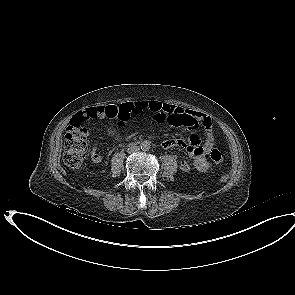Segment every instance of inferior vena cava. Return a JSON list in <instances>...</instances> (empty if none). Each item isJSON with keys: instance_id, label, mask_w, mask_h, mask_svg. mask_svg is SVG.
Instances as JSON below:
<instances>
[{"instance_id": "1", "label": "inferior vena cava", "mask_w": 295, "mask_h": 295, "mask_svg": "<svg viewBox=\"0 0 295 295\" xmlns=\"http://www.w3.org/2000/svg\"><path fill=\"white\" fill-rule=\"evenodd\" d=\"M139 150H140V148L138 146H131V147L128 148L127 152L128 153H135V152H137Z\"/></svg>"}]
</instances>
